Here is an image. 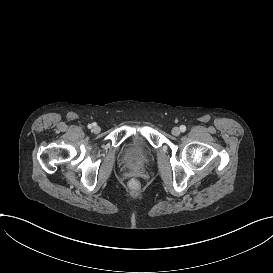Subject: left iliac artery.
Segmentation results:
<instances>
[{"mask_svg":"<svg viewBox=\"0 0 273 273\" xmlns=\"http://www.w3.org/2000/svg\"><path fill=\"white\" fill-rule=\"evenodd\" d=\"M180 131L181 132H185L186 131V126L185 125H181L180 126Z\"/></svg>","mask_w":273,"mask_h":273,"instance_id":"1","label":"left iliac artery"}]
</instances>
